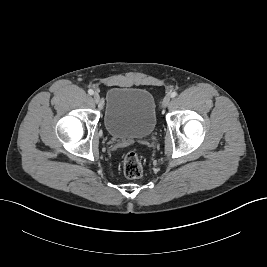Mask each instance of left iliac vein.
Here are the masks:
<instances>
[{
    "instance_id": "4c4485c4",
    "label": "left iliac vein",
    "mask_w": 267,
    "mask_h": 267,
    "mask_svg": "<svg viewBox=\"0 0 267 267\" xmlns=\"http://www.w3.org/2000/svg\"><path fill=\"white\" fill-rule=\"evenodd\" d=\"M170 100H171V98H170L169 95L165 96L164 99H163V101H162V105H163V107L168 106L169 103H170Z\"/></svg>"
}]
</instances>
